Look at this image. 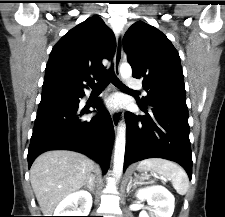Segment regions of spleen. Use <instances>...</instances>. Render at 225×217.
Wrapping results in <instances>:
<instances>
[{
  "instance_id": "1",
  "label": "spleen",
  "mask_w": 225,
  "mask_h": 217,
  "mask_svg": "<svg viewBox=\"0 0 225 217\" xmlns=\"http://www.w3.org/2000/svg\"><path fill=\"white\" fill-rule=\"evenodd\" d=\"M138 168L152 170L159 175L171 180L174 189L178 194L184 195L189 188V179L184 169L170 160L162 158H149L142 160Z\"/></svg>"
}]
</instances>
